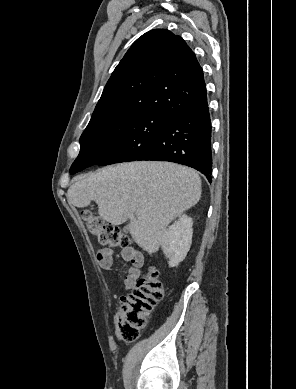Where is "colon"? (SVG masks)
I'll return each instance as SVG.
<instances>
[{
  "label": "colon",
  "instance_id": "5ec220e1",
  "mask_svg": "<svg viewBox=\"0 0 296 389\" xmlns=\"http://www.w3.org/2000/svg\"><path fill=\"white\" fill-rule=\"evenodd\" d=\"M82 219L87 230L97 236L100 244L111 248L130 245L128 235L118 226L105 222L96 213L84 210ZM163 296L164 287L160 272L157 268L150 267L136 282L132 292L121 297V307L115 314L117 338L125 343L137 340L147 324L148 317Z\"/></svg>",
  "mask_w": 296,
  "mask_h": 389
}]
</instances>
